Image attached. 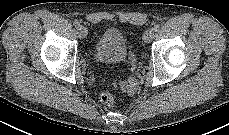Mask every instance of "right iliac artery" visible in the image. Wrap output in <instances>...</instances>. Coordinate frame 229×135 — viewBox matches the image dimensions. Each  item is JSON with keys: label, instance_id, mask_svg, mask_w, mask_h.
I'll return each instance as SVG.
<instances>
[{"label": "right iliac artery", "instance_id": "obj_1", "mask_svg": "<svg viewBox=\"0 0 229 135\" xmlns=\"http://www.w3.org/2000/svg\"><path fill=\"white\" fill-rule=\"evenodd\" d=\"M73 25H74L76 28H78V27H80V22H79L78 20H75V21L73 22Z\"/></svg>", "mask_w": 229, "mask_h": 135}]
</instances>
